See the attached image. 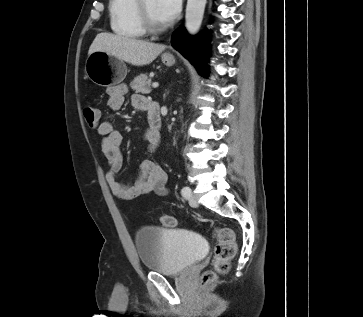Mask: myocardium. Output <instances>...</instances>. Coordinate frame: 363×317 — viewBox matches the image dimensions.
Listing matches in <instances>:
<instances>
[{
	"label": "myocardium",
	"mask_w": 363,
	"mask_h": 317,
	"mask_svg": "<svg viewBox=\"0 0 363 317\" xmlns=\"http://www.w3.org/2000/svg\"><path fill=\"white\" fill-rule=\"evenodd\" d=\"M135 10L137 18L142 26V28L151 34L161 33L165 30V25H156L152 19L150 18L146 7H145V0H136Z\"/></svg>",
	"instance_id": "f54148a6"
}]
</instances>
